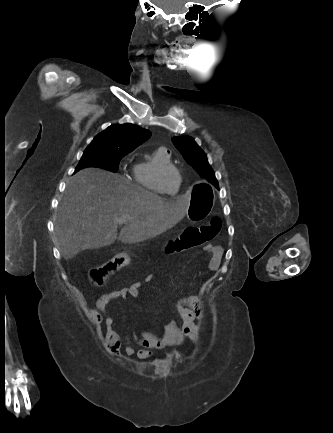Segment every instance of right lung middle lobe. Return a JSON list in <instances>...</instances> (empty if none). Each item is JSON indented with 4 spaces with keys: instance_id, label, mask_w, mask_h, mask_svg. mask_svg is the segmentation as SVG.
<instances>
[{
    "instance_id": "right-lung-middle-lobe-1",
    "label": "right lung middle lobe",
    "mask_w": 333,
    "mask_h": 433,
    "mask_svg": "<svg viewBox=\"0 0 333 433\" xmlns=\"http://www.w3.org/2000/svg\"><path fill=\"white\" fill-rule=\"evenodd\" d=\"M127 154V152H122L112 148L88 146L85 149L75 171L84 167L96 166L117 172L120 160Z\"/></svg>"
}]
</instances>
